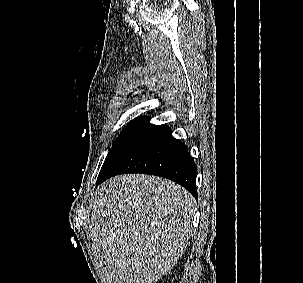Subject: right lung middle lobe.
<instances>
[{"mask_svg": "<svg viewBox=\"0 0 303 283\" xmlns=\"http://www.w3.org/2000/svg\"><path fill=\"white\" fill-rule=\"evenodd\" d=\"M149 121V118L140 117L134 119L125 127L109 151L98 177L106 174L126 150L151 126Z\"/></svg>", "mask_w": 303, "mask_h": 283, "instance_id": "right-lung-middle-lobe-1", "label": "right lung middle lobe"}]
</instances>
